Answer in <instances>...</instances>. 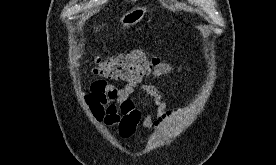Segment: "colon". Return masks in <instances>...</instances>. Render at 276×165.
Wrapping results in <instances>:
<instances>
[{"label":"colon","instance_id":"5ec220e1","mask_svg":"<svg viewBox=\"0 0 276 165\" xmlns=\"http://www.w3.org/2000/svg\"><path fill=\"white\" fill-rule=\"evenodd\" d=\"M159 63L158 56L137 49L115 57H96L94 72L107 79L129 81L149 76Z\"/></svg>","mask_w":276,"mask_h":165}]
</instances>
